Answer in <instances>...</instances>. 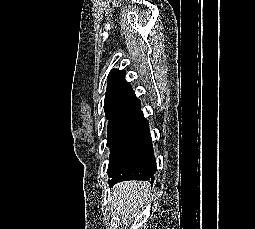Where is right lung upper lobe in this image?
<instances>
[{"label": "right lung upper lobe", "mask_w": 255, "mask_h": 229, "mask_svg": "<svg viewBox=\"0 0 255 229\" xmlns=\"http://www.w3.org/2000/svg\"><path fill=\"white\" fill-rule=\"evenodd\" d=\"M125 74L124 70H112L109 74L104 103L109 122L141 107L131 85L124 80Z\"/></svg>", "instance_id": "right-lung-upper-lobe-1"}]
</instances>
